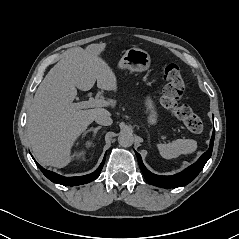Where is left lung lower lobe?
I'll return each mask as SVG.
<instances>
[{
  "mask_svg": "<svg viewBox=\"0 0 239 239\" xmlns=\"http://www.w3.org/2000/svg\"><path fill=\"white\" fill-rule=\"evenodd\" d=\"M215 137V130H213L212 138L210 141L209 149L191 166L186 168L184 171L175 174L173 176H159L151 173L143 164L141 156L139 153H136L140 169L147 180L152 185L163 187V188H175L185 186L190 183L199 172L203 169L206 162L209 160L213 150V143Z\"/></svg>",
  "mask_w": 239,
  "mask_h": 239,
  "instance_id": "0a47b994",
  "label": "left lung lower lobe"
}]
</instances>
